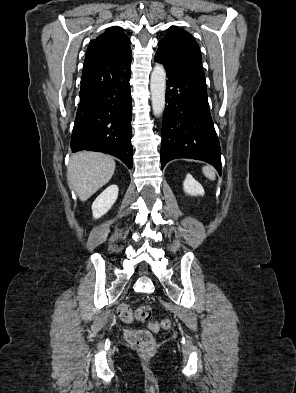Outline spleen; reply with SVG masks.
<instances>
[{"label": "spleen", "instance_id": "spleen-1", "mask_svg": "<svg viewBox=\"0 0 296 393\" xmlns=\"http://www.w3.org/2000/svg\"><path fill=\"white\" fill-rule=\"evenodd\" d=\"M203 174L210 180L215 179V171L212 167L210 166H204L202 168Z\"/></svg>", "mask_w": 296, "mask_h": 393}]
</instances>
